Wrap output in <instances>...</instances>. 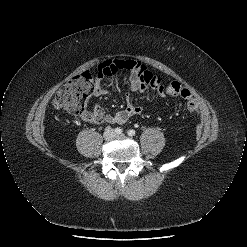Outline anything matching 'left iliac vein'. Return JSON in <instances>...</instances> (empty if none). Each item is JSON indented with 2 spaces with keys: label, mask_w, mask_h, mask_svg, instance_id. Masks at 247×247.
Segmentation results:
<instances>
[{
  "label": "left iliac vein",
  "mask_w": 247,
  "mask_h": 247,
  "mask_svg": "<svg viewBox=\"0 0 247 247\" xmlns=\"http://www.w3.org/2000/svg\"><path fill=\"white\" fill-rule=\"evenodd\" d=\"M117 136H119V137H123V136H124V134H121V135H117Z\"/></svg>",
  "instance_id": "left-iliac-vein-1"
}]
</instances>
